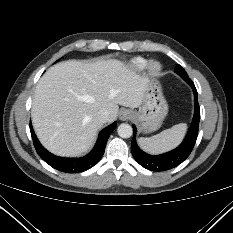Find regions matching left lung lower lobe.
<instances>
[{"label": "left lung lower lobe", "mask_w": 233, "mask_h": 233, "mask_svg": "<svg viewBox=\"0 0 233 233\" xmlns=\"http://www.w3.org/2000/svg\"><path fill=\"white\" fill-rule=\"evenodd\" d=\"M187 83L193 89L195 111L189 131L184 141L176 149L157 156L149 155L143 152L136 143V127L133 125V139L131 143L132 155L142 167L148 170L159 172L175 168L190 155L195 145L200 121V107L198 104L197 90L194 83L192 81H188Z\"/></svg>", "instance_id": "1"}]
</instances>
